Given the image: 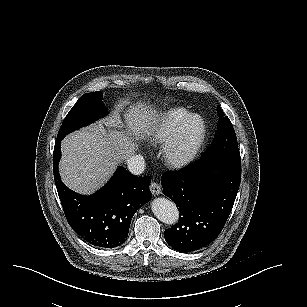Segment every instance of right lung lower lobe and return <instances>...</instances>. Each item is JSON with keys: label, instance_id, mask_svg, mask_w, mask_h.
<instances>
[{"label": "right lung lower lobe", "instance_id": "1", "mask_svg": "<svg viewBox=\"0 0 307 307\" xmlns=\"http://www.w3.org/2000/svg\"><path fill=\"white\" fill-rule=\"evenodd\" d=\"M60 141L53 152L54 180L69 225L92 246L115 248L122 245L136 210L151 199V177H135L124 167H119L102 189L90 196L79 195L60 179Z\"/></svg>", "mask_w": 307, "mask_h": 307}]
</instances>
